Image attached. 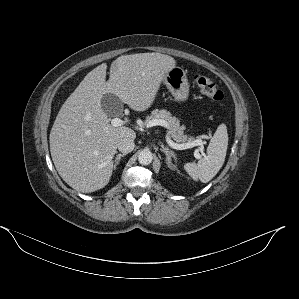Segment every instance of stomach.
Masks as SVG:
<instances>
[{"label":"stomach","mask_w":299,"mask_h":299,"mask_svg":"<svg viewBox=\"0 0 299 299\" xmlns=\"http://www.w3.org/2000/svg\"><path fill=\"white\" fill-rule=\"evenodd\" d=\"M176 102H185L189 97V83L186 72L179 66L172 67L163 79Z\"/></svg>","instance_id":"1"}]
</instances>
